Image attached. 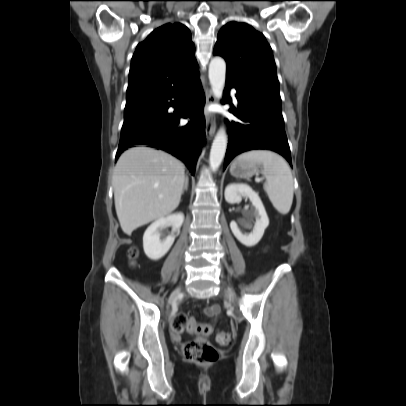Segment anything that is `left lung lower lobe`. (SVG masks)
<instances>
[{
    "label": "left lung lower lobe",
    "instance_id": "left-lung-lower-lobe-1",
    "mask_svg": "<svg viewBox=\"0 0 406 406\" xmlns=\"http://www.w3.org/2000/svg\"><path fill=\"white\" fill-rule=\"evenodd\" d=\"M230 88L237 90L238 108L231 107L229 111L239 121L227 120L229 140L224 169L236 155L253 149L275 151L285 157L292 166L281 102L250 93L232 81L226 80L225 95H228Z\"/></svg>",
    "mask_w": 406,
    "mask_h": 406
}]
</instances>
